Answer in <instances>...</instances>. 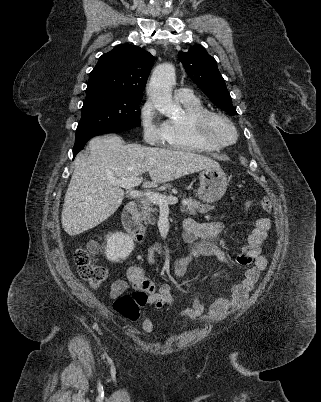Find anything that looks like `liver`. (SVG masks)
I'll return each mask as SVG.
<instances>
[{
    "instance_id": "1",
    "label": "liver",
    "mask_w": 321,
    "mask_h": 402,
    "mask_svg": "<svg viewBox=\"0 0 321 402\" xmlns=\"http://www.w3.org/2000/svg\"><path fill=\"white\" fill-rule=\"evenodd\" d=\"M89 156L75 159L61 215L70 236L79 235L108 219L121 205L124 191L114 179L138 177L149 172L144 188L155 187L207 168H219L213 159L187 151L125 145L118 135L95 137L89 142Z\"/></svg>"
}]
</instances>
